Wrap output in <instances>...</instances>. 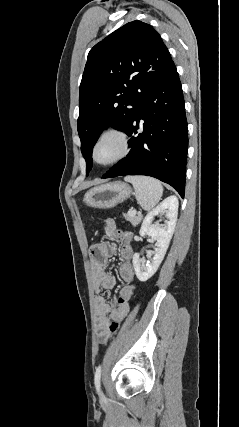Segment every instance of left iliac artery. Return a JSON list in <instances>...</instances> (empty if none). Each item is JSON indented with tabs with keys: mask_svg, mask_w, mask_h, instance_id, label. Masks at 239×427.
<instances>
[{
	"mask_svg": "<svg viewBox=\"0 0 239 427\" xmlns=\"http://www.w3.org/2000/svg\"><path fill=\"white\" fill-rule=\"evenodd\" d=\"M100 379H101V366L99 365L96 368L95 375H94V383H95L97 392H99L100 390Z\"/></svg>",
	"mask_w": 239,
	"mask_h": 427,
	"instance_id": "44dca946",
	"label": "left iliac artery"
}]
</instances>
